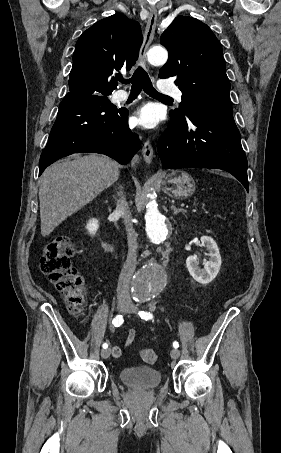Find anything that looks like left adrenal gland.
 Masks as SVG:
<instances>
[{
    "mask_svg": "<svg viewBox=\"0 0 281 453\" xmlns=\"http://www.w3.org/2000/svg\"><path fill=\"white\" fill-rule=\"evenodd\" d=\"M172 210H174L173 214H178V212H180V210H182V208H176V206H171Z\"/></svg>",
    "mask_w": 281,
    "mask_h": 453,
    "instance_id": "a2214340",
    "label": "left adrenal gland"
}]
</instances>
